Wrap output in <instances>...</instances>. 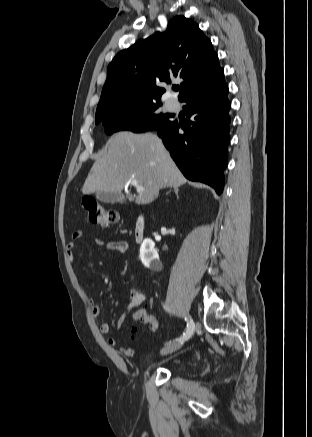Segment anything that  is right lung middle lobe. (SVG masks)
<instances>
[{"label":"right lung middle lobe","instance_id":"right-lung-middle-lobe-1","mask_svg":"<svg viewBox=\"0 0 312 437\" xmlns=\"http://www.w3.org/2000/svg\"><path fill=\"white\" fill-rule=\"evenodd\" d=\"M161 102L135 104L122 107L107 116L96 119L105 126V132L112 134L117 131H132L135 133L159 130L169 125L172 120L169 114L158 110Z\"/></svg>","mask_w":312,"mask_h":437}]
</instances>
